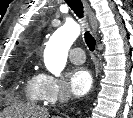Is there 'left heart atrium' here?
Listing matches in <instances>:
<instances>
[{
	"label": "left heart atrium",
	"mask_w": 133,
	"mask_h": 118,
	"mask_svg": "<svg viewBox=\"0 0 133 118\" xmlns=\"http://www.w3.org/2000/svg\"><path fill=\"white\" fill-rule=\"evenodd\" d=\"M92 87V76L90 72L83 68H76L70 76V90L76 96H83Z\"/></svg>",
	"instance_id": "obj_1"
}]
</instances>
